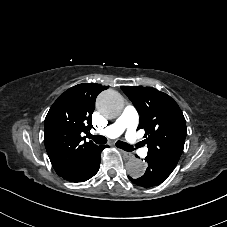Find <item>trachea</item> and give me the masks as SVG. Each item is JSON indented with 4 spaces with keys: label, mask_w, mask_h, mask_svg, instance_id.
Instances as JSON below:
<instances>
[{
    "label": "trachea",
    "mask_w": 227,
    "mask_h": 227,
    "mask_svg": "<svg viewBox=\"0 0 227 227\" xmlns=\"http://www.w3.org/2000/svg\"><path fill=\"white\" fill-rule=\"evenodd\" d=\"M88 138L92 139L96 144H100V145H104L107 142V138L105 136H100V135L95 136L88 133ZM115 144L118 148H121L127 152H131L133 150V148L129 144L122 142L120 140L117 141Z\"/></svg>",
    "instance_id": "3493384b"
}]
</instances>
